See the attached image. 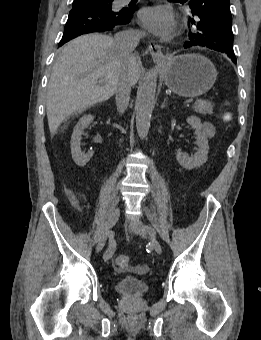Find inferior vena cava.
Wrapping results in <instances>:
<instances>
[{"instance_id": "inferior-vena-cava-1", "label": "inferior vena cava", "mask_w": 261, "mask_h": 340, "mask_svg": "<svg viewBox=\"0 0 261 340\" xmlns=\"http://www.w3.org/2000/svg\"><path fill=\"white\" fill-rule=\"evenodd\" d=\"M142 36V32L135 30L119 32L113 39L114 48L122 58H129L132 56V52L139 44ZM131 87V78L127 74H122L119 77L115 90L117 110L120 113H123L129 104Z\"/></svg>"}]
</instances>
